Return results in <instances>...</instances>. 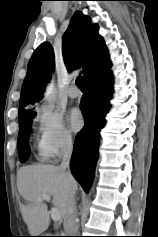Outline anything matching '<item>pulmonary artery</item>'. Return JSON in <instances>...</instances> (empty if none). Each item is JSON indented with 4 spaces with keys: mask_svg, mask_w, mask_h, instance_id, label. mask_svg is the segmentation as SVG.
Instances as JSON below:
<instances>
[{
    "mask_svg": "<svg viewBox=\"0 0 158 237\" xmlns=\"http://www.w3.org/2000/svg\"><path fill=\"white\" fill-rule=\"evenodd\" d=\"M67 95L70 98H78L80 94L77 90L74 89V87H71V88L68 89Z\"/></svg>",
    "mask_w": 158,
    "mask_h": 237,
    "instance_id": "e3ab8cb5",
    "label": "pulmonary artery"
}]
</instances>
